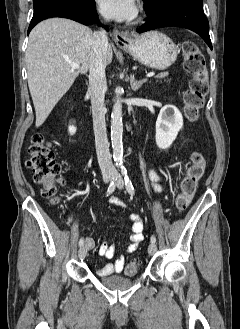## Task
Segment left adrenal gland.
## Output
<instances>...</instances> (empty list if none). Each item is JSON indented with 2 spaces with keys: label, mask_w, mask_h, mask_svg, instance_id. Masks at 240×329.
Returning a JSON list of instances; mask_svg holds the SVG:
<instances>
[{
  "label": "left adrenal gland",
  "mask_w": 240,
  "mask_h": 329,
  "mask_svg": "<svg viewBox=\"0 0 240 329\" xmlns=\"http://www.w3.org/2000/svg\"><path fill=\"white\" fill-rule=\"evenodd\" d=\"M145 82H146V79L137 81V80H135L134 75L130 76V83H131V88L133 91H137Z\"/></svg>",
  "instance_id": "obj_1"
}]
</instances>
